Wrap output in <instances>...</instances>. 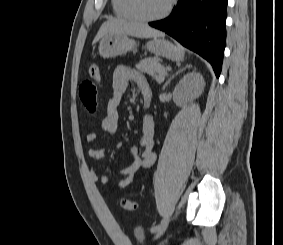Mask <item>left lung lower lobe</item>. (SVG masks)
I'll return each mask as SVG.
<instances>
[{
  "mask_svg": "<svg viewBox=\"0 0 283 245\" xmlns=\"http://www.w3.org/2000/svg\"><path fill=\"white\" fill-rule=\"evenodd\" d=\"M227 1L179 0L171 15L149 25L201 55L219 77L226 40Z\"/></svg>",
  "mask_w": 283,
  "mask_h": 245,
  "instance_id": "1",
  "label": "left lung lower lobe"
}]
</instances>
